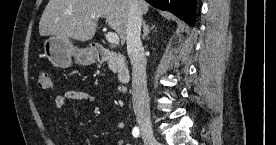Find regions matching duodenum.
<instances>
[{
	"label": "duodenum",
	"instance_id": "410a0bca",
	"mask_svg": "<svg viewBox=\"0 0 276 145\" xmlns=\"http://www.w3.org/2000/svg\"><path fill=\"white\" fill-rule=\"evenodd\" d=\"M94 54L98 61H114L120 85H125L130 80V71L121 53L109 50L101 45H96L94 47Z\"/></svg>",
	"mask_w": 276,
	"mask_h": 145
}]
</instances>
